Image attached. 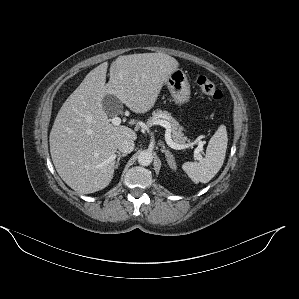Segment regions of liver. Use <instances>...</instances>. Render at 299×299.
I'll return each instance as SVG.
<instances>
[{"label": "liver", "mask_w": 299, "mask_h": 299, "mask_svg": "<svg viewBox=\"0 0 299 299\" xmlns=\"http://www.w3.org/2000/svg\"><path fill=\"white\" fill-rule=\"evenodd\" d=\"M178 65L163 53L123 55L111 63L107 84V62L86 75L60 108L49 137L52 161L69 187L82 194L107 187L114 174L118 142L137 138L131 128L110 123L103 98L114 95L131 111L146 113Z\"/></svg>", "instance_id": "1"}]
</instances>
